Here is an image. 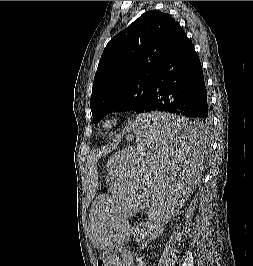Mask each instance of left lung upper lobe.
Here are the masks:
<instances>
[{"label":"left lung upper lobe","instance_id":"left-lung-upper-lobe-1","mask_svg":"<svg viewBox=\"0 0 253 266\" xmlns=\"http://www.w3.org/2000/svg\"><path fill=\"white\" fill-rule=\"evenodd\" d=\"M177 24L170 15L151 10L108 42L93 81L94 123L112 111L146 113L158 60Z\"/></svg>","mask_w":253,"mask_h":266}]
</instances>
